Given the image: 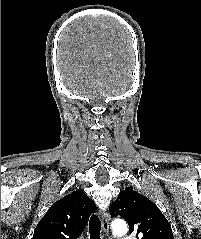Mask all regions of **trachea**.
Returning a JSON list of instances; mask_svg holds the SVG:
<instances>
[{"instance_id":"1","label":"trachea","mask_w":201,"mask_h":239,"mask_svg":"<svg viewBox=\"0 0 201 239\" xmlns=\"http://www.w3.org/2000/svg\"><path fill=\"white\" fill-rule=\"evenodd\" d=\"M100 231H101V222L96 215H92L89 221L90 239H101Z\"/></svg>"}]
</instances>
